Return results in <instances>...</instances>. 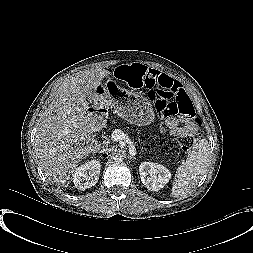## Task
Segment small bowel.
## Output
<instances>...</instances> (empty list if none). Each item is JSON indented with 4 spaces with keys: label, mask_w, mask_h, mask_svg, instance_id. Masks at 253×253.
Wrapping results in <instances>:
<instances>
[{
    "label": "small bowel",
    "mask_w": 253,
    "mask_h": 253,
    "mask_svg": "<svg viewBox=\"0 0 253 253\" xmlns=\"http://www.w3.org/2000/svg\"><path fill=\"white\" fill-rule=\"evenodd\" d=\"M158 85L181 87V84L169 75L155 69L147 68L145 87L151 89ZM183 123L184 125H182ZM165 127L172 135H179L190 129V122L185 120L183 117H176L166 121Z\"/></svg>",
    "instance_id": "obj_1"
}]
</instances>
